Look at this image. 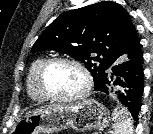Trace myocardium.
<instances>
[{
    "mask_svg": "<svg viewBox=\"0 0 153 134\" xmlns=\"http://www.w3.org/2000/svg\"><path fill=\"white\" fill-rule=\"evenodd\" d=\"M57 63H65L76 67L82 74L84 78V87L83 89L75 95L62 97L49 93L44 86V77L48 68ZM36 85L39 93L49 101L60 102V103H73L85 99L91 92L93 87V79L89 69L79 60L70 57H52L46 59L40 66L37 76H36Z\"/></svg>",
    "mask_w": 153,
    "mask_h": 134,
    "instance_id": "myocardium-1",
    "label": "myocardium"
}]
</instances>
